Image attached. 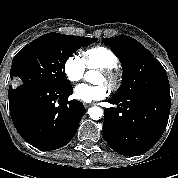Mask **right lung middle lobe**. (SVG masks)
Here are the masks:
<instances>
[{
  "label": "right lung middle lobe",
  "instance_id": "1",
  "mask_svg": "<svg viewBox=\"0 0 178 178\" xmlns=\"http://www.w3.org/2000/svg\"><path fill=\"white\" fill-rule=\"evenodd\" d=\"M97 38L47 33L21 49L12 61L10 77L17 85L63 87L67 59ZM12 87V86H10Z\"/></svg>",
  "mask_w": 178,
  "mask_h": 178
}]
</instances>
